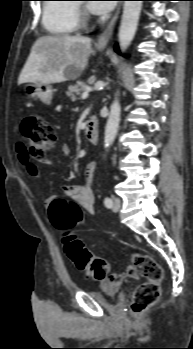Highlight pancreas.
<instances>
[{
  "mask_svg": "<svg viewBox=\"0 0 193 349\" xmlns=\"http://www.w3.org/2000/svg\"><path fill=\"white\" fill-rule=\"evenodd\" d=\"M87 87L88 85L84 81H77L74 85L68 87L66 95L74 101L80 95V92L84 91Z\"/></svg>",
  "mask_w": 193,
  "mask_h": 349,
  "instance_id": "1",
  "label": "pancreas"
}]
</instances>
